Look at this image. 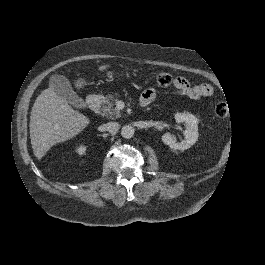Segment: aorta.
I'll return each instance as SVG.
<instances>
[{"label": "aorta", "mask_w": 265, "mask_h": 265, "mask_svg": "<svg viewBox=\"0 0 265 265\" xmlns=\"http://www.w3.org/2000/svg\"><path fill=\"white\" fill-rule=\"evenodd\" d=\"M134 129L132 126H124L121 130V135L125 139H131L134 136Z\"/></svg>", "instance_id": "762f6f07"}]
</instances>
